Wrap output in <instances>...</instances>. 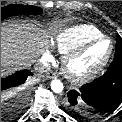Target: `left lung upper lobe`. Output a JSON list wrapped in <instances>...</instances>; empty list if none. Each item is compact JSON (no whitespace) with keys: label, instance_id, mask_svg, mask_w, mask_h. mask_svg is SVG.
<instances>
[{"label":"left lung upper lobe","instance_id":"left-lung-upper-lobe-1","mask_svg":"<svg viewBox=\"0 0 122 122\" xmlns=\"http://www.w3.org/2000/svg\"><path fill=\"white\" fill-rule=\"evenodd\" d=\"M114 59H122V38L118 35L116 37V48Z\"/></svg>","mask_w":122,"mask_h":122}]
</instances>
